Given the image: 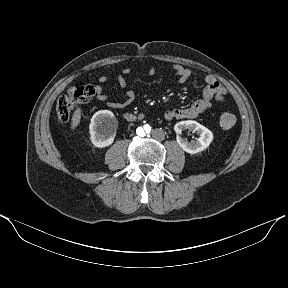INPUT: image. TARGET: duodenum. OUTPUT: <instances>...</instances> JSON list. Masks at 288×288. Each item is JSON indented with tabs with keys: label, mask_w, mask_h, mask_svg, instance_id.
Returning a JSON list of instances; mask_svg holds the SVG:
<instances>
[{
	"label": "duodenum",
	"mask_w": 288,
	"mask_h": 288,
	"mask_svg": "<svg viewBox=\"0 0 288 288\" xmlns=\"http://www.w3.org/2000/svg\"><path fill=\"white\" fill-rule=\"evenodd\" d=\"M125 118L127 120H130V121H133V120H136V119H142L143 118V115L142 114H133L131 112H127L125 114Z\"/></svg>",
	"instance_id": "410a0bca"
}]
</instances>
